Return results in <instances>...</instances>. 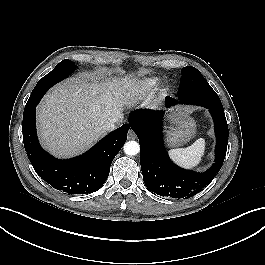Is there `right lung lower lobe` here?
Instances as JSON below:
<instances>
[{"label":"right lung lower lobe","mask_w":265,"mask_h":265,"mask_svg":"<svg viewBox=\"0 0 265 265\" xmlns=\"http://www.w3.org/2000/svg\"><path fill=\"white\" fill-rule=\"evenodd\" d=\"M46 89L33 93L23 114V142L37 174L53 188L68 194H85L100 189L108 178L111 163L127 140L128 124L109 133L78 157L59 160L44 151L36 134L35 113Z\"/></svg>","instance_id":"1"}]
</instances>
